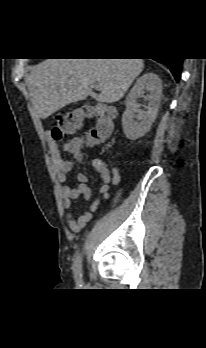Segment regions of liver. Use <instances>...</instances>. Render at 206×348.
<instances>
[{
	"instance_id": "obj_1",
	"label": "liver",
	"mask_w": 206,
	"mask_h": 348,
	"mask_svg": "<svg viewBox=\"0 0 206 348\" xmlns=\"http://www.w3.org/2000/svg\"><path fill=\"white\" fill-rule=\"evenodd\" d=\"M143 68V59H46L32 68L27 83L31 101L45 119L87 96L119 101ZM96 82L99 94L92 91Z\"/></svg>"
}]
</instances>
